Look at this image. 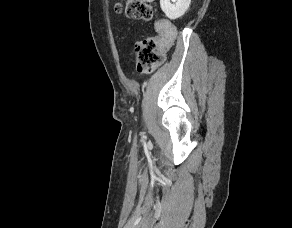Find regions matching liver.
<instances>
[{
  "label": "liver",
  "mask_w": 292,
  "mask_h": 228,
  "mask_svg": "<svg viewBox=\"0 0 292 228\" xmlns=\"http://www.w3.org/2000/svg\"><path fill=\"white\" fill-rule=\"evenodd\" d=\"M143 2H153L154 0H141Z\"/></svg>",
  "instance_id": "1"
}]
</instances>
